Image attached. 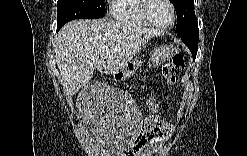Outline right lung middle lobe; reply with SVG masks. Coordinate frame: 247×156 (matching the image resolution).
Masks as SVG:
<instances>
[{"instance_id":"obj_1","label":"right lung middle lobe","mask_w":247,"mask_h":156,"mask_svg":"<svg viewBox=\"0 0 247 156\" xmlns=\"http://www.w3.org/2000/svg\"><path fill=\"white\" fill-rule=\"evenodd\" d=\"M104 15V0H58L57 29L74 19H95Z\"/></svg>"}]
</instances>
